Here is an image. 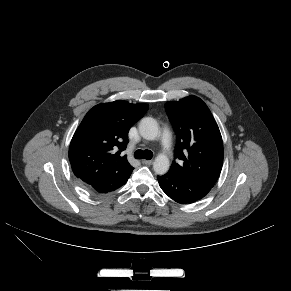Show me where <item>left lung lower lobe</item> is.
I'll return each mask as SVG.
<instances>
[{
    "instance_id": "obj_1",
    "label": "left lung lower lobe",
    "mask_w": 291,
    "mask_h": 291,
    "mask_svg": "<svg viewBox=\"0 0 291 291\" xmlns=\"http://www.w3.org/2000/svg\"><path fill=\"white\" fill-rule=\"evenodd\" d=\"M157 178L165 194L182 204L200 200L212 188L197 180L178 175L172 171H168L165 175L158 176Z\"/></svg>"
}]
</instances>
